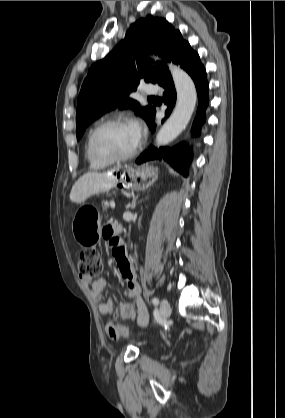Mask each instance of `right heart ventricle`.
<instances>
[{
	"label": "right heart ventricle",
	"mask_w": 285,
	"mask_h": 418,
	"mask_svg": "<svg viewBox=\"0 0 285 418\" xmlns=\"http://www.w3.org/2000/svg\"><path fill=\"white\" fill-rule=\"evenodd\" d=\"M85 156H86V159L89 163L90 168L93 169V170H100V169H103V168H105L109 165V163H104V162L98 161L97 159H95L90 154V152L88 150L87 142L85 143Z\"/></svg>",
	"instance_id": "1"
}]
</instances>
